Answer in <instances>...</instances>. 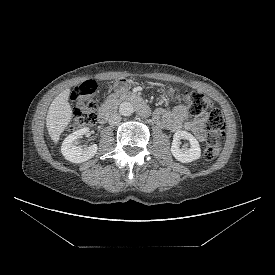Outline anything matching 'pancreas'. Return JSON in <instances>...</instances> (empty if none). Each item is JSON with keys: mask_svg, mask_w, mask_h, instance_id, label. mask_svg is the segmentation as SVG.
I'll use <instances>...</instances> for the list:
<instances>
[{"mask_svg": "<svg viewBox=\"0 0 275 275\" xmlns=\"http://www.w3.org/2000/svg\"><path fill=\"white\" fill-rule=\"evenodd\" d=\"M119 97H120V95L118 93H113L107 97L106 103L118 102L120 100Z\"/></svg>", "mask_w": 275, "mask_h": 275, "instance_id": "pancreas-1", "label": "pancreas"}]
</instances>
